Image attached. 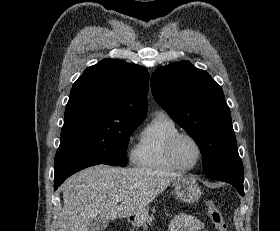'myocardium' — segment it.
Here are the masks:
<instances>
[{"label":"myocardium","instance_id":"1","mask_svg":"<svg viewBox=\"0 0 280 231\" xmlns=\"http://www.w3.org/2000/svg\"><path fill=\"white\" fill-rule=\"evenodd\" d=\"M182 137H189V138L193 139L199 148V153H200L199 161H198V164L193 168H186V167L180 165L175 157L176 144H177L178 140ZM166 152H167V157H168L169 161L177 169H179L181 171H185V172H192V171L198 170L202 166L204 159H205V150H204V146H203L202 142L200 141V139L198 137H196L194 134H192L190 132H185V131H179V132L175 133L173 136H171V138L169 139L168 144H167Z\"/></svg>","mask_w":280,"mask_h":231}]
</instances>
